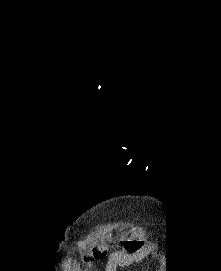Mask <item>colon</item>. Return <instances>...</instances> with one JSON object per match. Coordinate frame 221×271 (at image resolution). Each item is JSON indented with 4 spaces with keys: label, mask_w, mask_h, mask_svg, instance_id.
<instances>
[{
    "label": "colon",
    "mask_w": 221,
    "mask_h": 271,
    "mask_svg": "<svg viewBox=\"0 0 221 271\" xmlns=\"http://www.w3.org/2000/svg\"><path fill=\"white\" fill-rule=\"evenodd\" d=\"M123 245L129 251L138 250L142 246V242L139 238L130 237L128 242H124ZM108 248L106 246H94L92 251L93 258H87V263H92L93 261H97L106 255Z\"/></svg>",
    "instance_id": "obj_1"
}]
</instances>
